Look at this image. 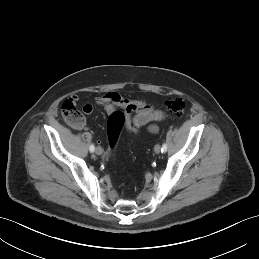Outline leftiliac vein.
<instances>
[{
	"label": "left iliac vein",
	"instance_id": "obj_1",
	"mask_svg": "<svg viewBox=\"0 0 259 259\" xmlns=\"http://www.w3.org/2000/svg\"><path fill=\"white\" fill-rule=\"evenodd\" d=\"M154 152H155L156 154H159V153L161 152V146L157 144V145L154 147Z\"/></svg>",
	"mask_w": 259,
	"mask_h": 259
}]
</instances>
